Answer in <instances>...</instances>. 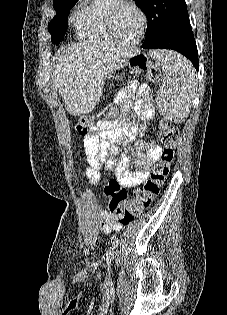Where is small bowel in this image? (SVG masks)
I'll return each mask as SVG.
<instances>
[{"label":"small bowel","instance_id":"small-bowel-1","mask_svg":"<svg viewBox=\"0 0 227 315\" xmlns=\"http://www.w3.org/2000/svg\"><path fill=\"white\" fill-rule=\"evenodd\" d=\"M135 99V111L138 115L150 116L153 112L150 104L151 92L147 85L131 80L120 91L118 99L129 103ZM144 126L99 124L92 127L84 138L86 153L85 174L91 184L100 179V169L113 171L118 182L127 188H137L149 177L150 167L156 163L162 153L160 146L154 143L137 141L130 151H121L119 145L133 141L135 134ZM135 167V171H130ZM100 228L104 232L119 231L123 225L107 210L98 212Z\"/></svg>","mask_w":227,"mask_h":315}]
</instances>
